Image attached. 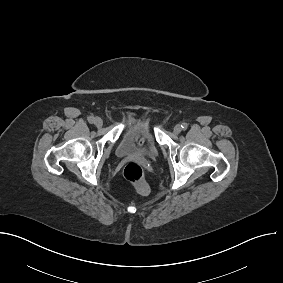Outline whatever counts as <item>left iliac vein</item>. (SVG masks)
Here are the masks:
<instances>
[{"label":"left iliac vein","mask_w":283,"mask_h":283,"mask_svg":"<svg viewBox=\"0 0 283 283\" xmlns=\"http://www.w3.org/2000/svg\"><path fill=\"white\" fill-rule=\"evenodd\" d=\"M181 131H182V128H181L180 125H176V126L174 127V133H175V134H179Z\"/></svg>","instance_id":"obj_1"}]
</instances>
